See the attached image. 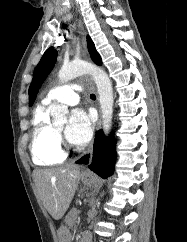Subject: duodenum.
I'll list each match as a JSON object with an SVG mask.
<instances>
[{"label": "duodenum", "mask_w": 187, "mask_h": 242, "mask_svg": "<svg viewBox=\"0 0 187 242\" xmlns=\"http://www.w3.org/2000/svg\"><path fill=\"white\" fill-rule=\"evenodd\" d=\"M79 242H90V236L87 233H84Z\"/></svg>", "instance_id": "1"}]
</instances>
